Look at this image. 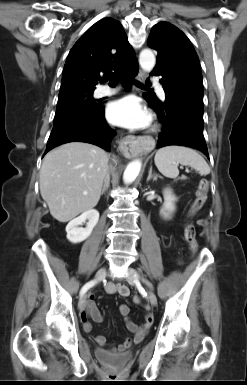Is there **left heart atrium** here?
I'll return each mask as SVG.
<instances>
[{
	"mask_svg": "<svg viewBox=\"0 0 247 385\" xmlns=\"http://www.w3.org/2000/svg\"><path fill=\"white\" fill-rule=\"evenodd\" d=\"M108 120L128 129H144L149 126L151 116L133 96H126L111 102L106 109Z\"/></svg>",
	"mask_w": 247,
	"mask_h": 385,
	"instance_id": "1",
	"label": "left heart atrium"
}]
</instances>
